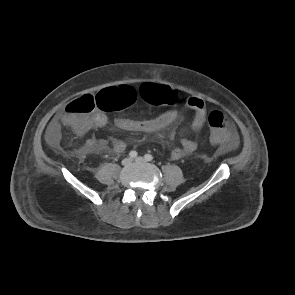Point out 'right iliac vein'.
I'll return each mask as SVG.
<instances>
[{"label":"right iliac vein","mask_w":295,"mask_h":295,"mask_svg":"<svg viewBox=\"0 0 295 295\" xmlns=\"http://www.w3.org/2000/svg\"><path fill=\"white\" fill-rule=\"evenodd\" d=\"M131 162H132V159L129 158V157H127V158H125V159L122 160V164H123L124 166L129 165Z\"/></svg>","instance_id":"63e3f726"}]
</instances>
